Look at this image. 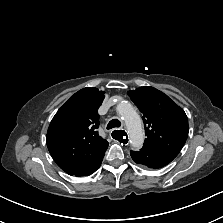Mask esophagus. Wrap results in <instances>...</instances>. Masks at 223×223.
Returning <instances> with one entry per match:
<instances>
[{
	"label": "esophagus",
	"instance_id": "esophagus-1",
	"mask_svg": "<svg viewBox=\"0 0 223 223\" xmlns=\"http://www.w3.org/2000/svg\"><path fill=\"white\" fill-rule=\"evenodd\" d=\"M111 138L121 143L122 145H128L129 144V136L125 130H119V129H113L111 131Z\"/></svg>",
	"mask_w": 223,
	"mask_h": 223
}]
</instances>
